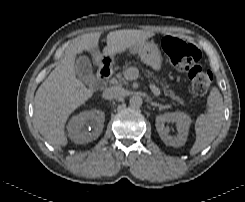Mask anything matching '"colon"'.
Masks as SVG:
<instances>
[{
    "label": "colon",
    "mask_w": 245,
    "mask_h": 202,
    "mask_svg": "<svg viewBox=\"0 0 245 202\" xmlns=\"http://www.w3.org/2000/svg\"><path fill=\"white\" fill-rule=\"evenodd\" d=\"M162 47L177 70H189L193 93L196 96L205 94L213 77L199 64L201 51L195 45L171 35L162 39Z\"/></svg>",
    "instance_id": "5ec220e1"
}]
</instances>
